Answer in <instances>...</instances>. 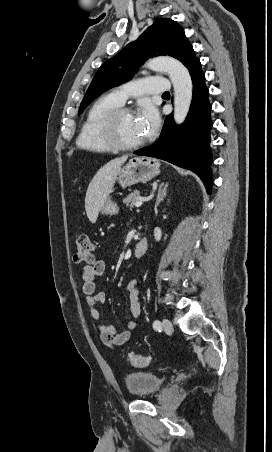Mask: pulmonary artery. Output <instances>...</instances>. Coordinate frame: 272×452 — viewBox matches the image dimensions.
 I'll return each instance as SVG.
<instances>
[{"label":"pulmonary artery","instance_id":"e3ab8cb5","mask_svg":"<svg viewBox=\"0 0 272 452\" xmlns=\"http://www.w3.org/2000/svg\"><path fill=\"white\" fill-rule=\"evenodd\" d=\"M170 89L167 79L146 77L115 88L111 95L121 104L130 96L161 94Z\"/></svg>","mask_w":272,"mask_h":452}]
</instances>
